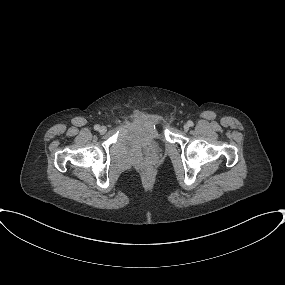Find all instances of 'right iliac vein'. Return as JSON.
I'll list each match as a JSON object with an SVG mask.
<instances>
[{
	"label": "right iliac vein",
	"instance_id": "right-iliac-vein-1",
	"mask_svg": "<svg viewBox=\"0 0 285 285\" xmlns=\"http://www.w3.org/2000/svg\"><path fill=\"white\" fill-rule=\"evenodd\" d=\"M106 131H107V128H106L105 126H101V127L99 128V132H100L101 134L106 133Z\"/></svg>",
	"mask_w": 285,
	"mask_h": 285
}]
</instances>
